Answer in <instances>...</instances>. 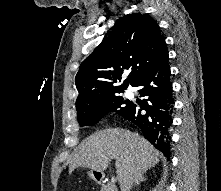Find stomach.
<instances>
[{
    "label": "stomach",
    "mask_w": 221,
    "mask_h": 191,
    "mask_svg": "<svg viewBox=\"0 0 221 191\" xmlns=\"http://www.w3.org/2000/svg\"><path fill=\"white\" fill-rule=\"evenodd\" d=\"M101 175H102V172H98L95 170H91L88 172V176L95 181L99 180Z\"/></svg>",
    "instance_id": "1"
}]
</instances>
